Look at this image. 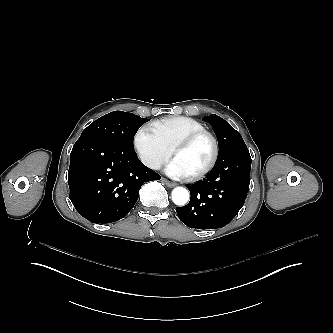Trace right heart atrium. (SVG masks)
<instances>
[{
  "mask_svg": "<svg viewBox=\"0 0 333 333\" xmlns=\"http://www.w3.org/2000/svg\"><path fill=\"white\" fill-rule=\"evenodd\" d=\"M134 146L142 162L151 170H159L171 153V149L149 126H144L138 131Z\"/></svg>",
  "mask_w": 333,
  "mask_h": 333,
  "instance_id": "right-heart-atrium-1",
  "label": "right heart atrium"
}]
</instances>
